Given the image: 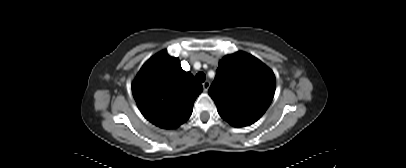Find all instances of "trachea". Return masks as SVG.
<instances>
[{"label": "trachea", "instance_id": "3493384b", "mask_svg": "<svg viewBox=\"0 0 406 168\" xmlns=\"http://www.w3.org/2000/svg\"><path fill=\"white\" fill-rule=\"evenodd\" d=\"M205 79H206V75H205L203 72H199V73H197L196 76H195V80H196L197 82H199V83L204 82Z\"/></svg>", "mask_w": 406, "mask_h": 168}]
</instances>
